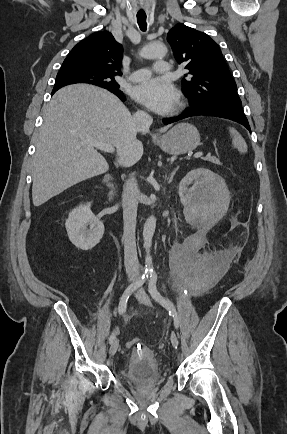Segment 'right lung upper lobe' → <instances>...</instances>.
I'll use <instances>...</instances> for the list:
<instances>
[{"label":"right lung upper lobe","instance_id":"obj_1","mask_svg":"<svg viewBox=\"0 0 287 434\" xmlns=\"http://www.w3.org/2000/svg\"><path fill=\"white\" fill-rule=\"evenodd\" d=\"M122 45L108 31L93 33L68 54L61 69H84L97 73L121 74ZM67 84L54 85L53 92ZM116 93V92H114Z\"/></svg>","mask_w":287,"mask_h":434}]
</instances>
